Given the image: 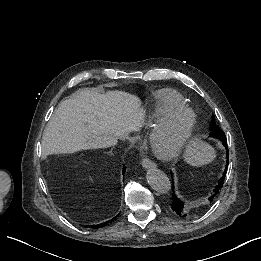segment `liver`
I'll use <instances>...</instances> for the list:
<instances>
[{
    "instance_id": "obj_1",
    "label": "liver",
    "mask_w": 261,
    "mask_h": 261,
    "mask_svg": "<svg viewBox=\"0 0 261 261\" xmlns=\"http://www.w3.org/2000/svg\"><path fill=\"white\" fill-rule=\"evenodd\" d=\"M138 100L122 92H76L55 110L43 135L44 151L71 154L117 145L144 125Z\"/></svg>"
}]
</instances>
